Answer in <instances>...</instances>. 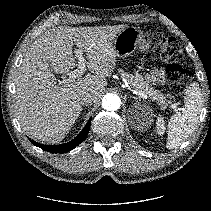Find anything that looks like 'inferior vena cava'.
<instances>
[{"mask_svg": "<svg viewBox=\"0 0 211 211\" xmlns=\"http://www.w3.org/2000/svg\"><path fill=\"white\" fill-rule=\"evenodd\" d=\"M79 102L82 105H90L94 102V97L90 93H84L79 97Z\"/></svg>", "mask_w": 211, "mask_h": 211, "instance_id": "obj_1", "label": "inferior vena cava"}]
</instances>
